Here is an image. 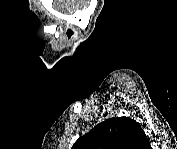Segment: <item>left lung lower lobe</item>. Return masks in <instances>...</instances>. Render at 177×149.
<instances>
[{
  "label": "left lung lower lobe",
  "mask_w": 177,
  "mask_h": 149,
  "mask_svg": "<svg viewBox=\"0 0 177 149\" xmlns=\"http://www.w3.org/2000/svg\"><path fill=\"white\" fill-rule=\"evenodd\" d=\"M147 147H148V148L150 147V143H148Z\"/></svg>",
  "instance_id": "1"
}]
</instances>
